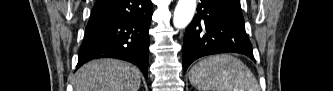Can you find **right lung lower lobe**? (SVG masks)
Here are the masks:
<instances>
[{"label": "right lung lower lobe", "mask_w": 333, "mask_h": 91, "mask_svg": "<svg viewBox=\"0 0 333 91\" xmlns=\"http://www.w3.org/2000/svg\"><path fill=\"white\" fill-rule=\"evenodd\" d=\"M151 0H98L85 29L76 69L95 58L137 65L147 78Z\"/></svg>", "instance_id": "obj_1"}]
</instances>
